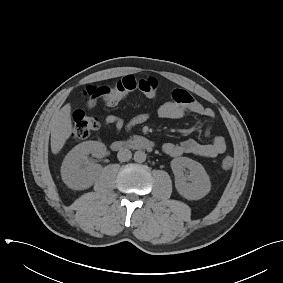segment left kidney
<instances>
[{
    "mask_svg": "<svg viewBox=\"0 0 283 283\" xmlns=\"http://www.w3.org/2000/svg\"><path fill=\"white\" fill-rule=\"evenodd\" d=\"M171 168L175 175V187L184 198L199 200L209 193L210 178L199 162L187 157H178L171 161ZM186 169L189 170V175H185Z\"/></svg>",
    "mask_w": 283,
    "mask_h": 283,
    "instance_id": "5707ae66",
    "label": "left kidney"
}]
</instances>
